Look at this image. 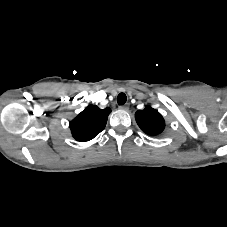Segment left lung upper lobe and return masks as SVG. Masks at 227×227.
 I'll return each instance as SVG.
<instances>
[{
	"label": "left lung upper lobe",
	"mask_w": 227,
	"mask_h": 227,
	"mask_svg": "<svg viewBox=\"0 0 227 227\" xmlns=\"http://www.w3.org/2000/svg\"><path fill=\"white\" fill-rule=\"evenodd\" d=\"M138 126L148 135H158L165 128V121L162 115L150 106L135 113Z\"/></svg>",
	"instance_id": "1"
}]
</instances>
